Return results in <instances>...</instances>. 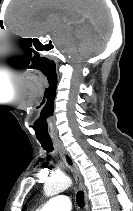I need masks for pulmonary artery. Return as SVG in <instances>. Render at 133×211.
Masks as SVG:
<instances>
[{"label":"pulmonary artery","mask_w":133,"mask_h":211,"mask_svg":"<svg viewBox=\"0 0 133 211\" xmlns=\"http://www.w3.org/2000/svg\"><path fill=\"white\" fill-rule=\"evenodd\" d=\"M70 210H71V202L69 197L65 195H58L48 200L36 211H70Z\"/></svg>","instance_id":"pulmonary-artery-1"}]
</instances>
